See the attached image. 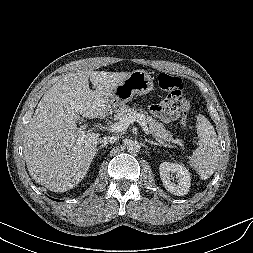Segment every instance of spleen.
I'll use <instances>...</instances> for the list:
<instances>
[{
  "mask_svg": "<svg viewBox=\"0 0 253 253\" xmlns=\"http://www.w3.org/2000/svg\"><path fill=\"white\" fill-rule=\"evenodd\" d=\"M198 147L189 158V165L197 171L201 179H208L219 162L220 147L216 132L207 118L201 114L197 116Z\"/></svg>",
  "mask_w": 253,
  "mask_h": 253,
  "instance_id": "3e777b00",
  "label": "spleen"
}]
</instances>
